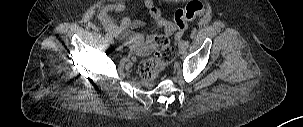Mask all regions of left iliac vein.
<instances>
[{
    "mask_svg": "<svg viewBox=\"0 0 303 127\" xmlns=\"http://www.w3.org/2000/svg\"><path fill=\"white\" fill-rule=\"evenodd\" d=\"M187 50V46L184 41L179 42V52L184 54Z\"/></svg>",
    "mask_w": 303,
    "mask_h": 127,
    "instance_id": "4c4485c4",
    "label": "left iliac vein"
}]
</instances>
